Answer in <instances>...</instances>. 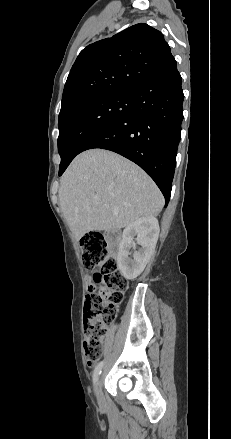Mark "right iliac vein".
Instances as JSON below:
<instances>
[{
    "label": "right iliac vein",
    "mask_w": 231,
    "mask_h": 439,
    "mask_svg": "<svg viewBox=\"0 0 231 439\" xmlns=\"http://www.w3.org/2000/svg\"><path fill=\"white\" fill-rule=\"evenodd\" d=\"M96 396L99 402H101L102 399V389H101V379L97 382L96 386Z\"/></svg>",
    "instance_id": "obj_1"
}]
</instances>
